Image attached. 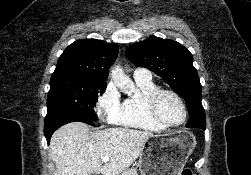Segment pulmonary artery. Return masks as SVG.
Returning a JSON list of instances; mask_svg holds the SVG:
<instances>
[{"mask_svg": "<svg viewBox=\"0 0 251 175\" xmlns=\"http://www.w3.org/2000/svg\"><path fill=\"white\" fill-rule=\"evenodd\" d=\"M133 78L136 81L151 82L152 74L148 70H145V69H136L133 72Z\"/></svg>", "mask_w": 251, "mask_h": 175, "instance_id": "obj_1", "label": "pulmonary artery"}]
</instances>
